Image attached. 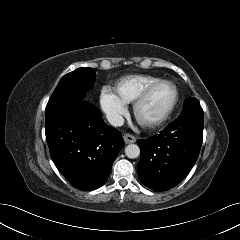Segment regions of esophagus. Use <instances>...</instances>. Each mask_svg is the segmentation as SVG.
<instances>
[{
  "label": "esophagus",
  "instance_id": "34e87169",
  "mask_svg": "<svg viewBox=\"0 0 240 240\" xmlns=\"http://www.w3.org/2000/svg\"><path fill=\"white\" fill-rule=\"evenodd\" d=\"M123 138L126 144L136 142V137L133 136L132 134H124Z\"/></svg>",
  "mask_w": 240,
  "mask_h": 240
}]
</instances>
